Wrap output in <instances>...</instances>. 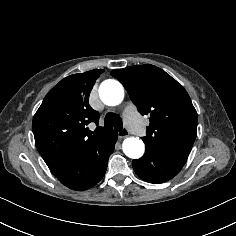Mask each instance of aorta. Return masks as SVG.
<instances>
[{"instance_id": "1", "label": "aorta", "mask_w": 236, "mask_h": 236, "mask_svg": "<svg viewBox=\"0 0 236 236\" xmlns=\"http://www.w3.org/2000/svg\"><path fill=\"white\" fill-rule=\"evenodd\" d=\"M99 96L106 105L116 106L123 100V86L116 80H105L99 87ZM122 148L125 155L132 159L142 157L145 152V145L138 137L126 138L123 141Z\"/></svg>"}]
</instances>
